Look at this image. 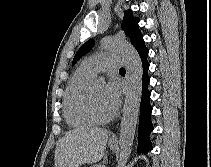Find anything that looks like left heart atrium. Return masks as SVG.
Segmentation results:
<instances>
[{"instance_id": "39dd6f15", "label": "left heart atrium", "mask_w": 211, "mask_h": 167, "mask_svg": "<svg viewBox=\"0 0 211 167\" xmlns=\"http://www.w3.org/2000/svg\"><path fill=\"white\" fill-rule=\"evenodd\" d=\"M104 99L111 113H115L121 99V87L116 79H110L104 87Z\"/></svg>"}]
</instances>
